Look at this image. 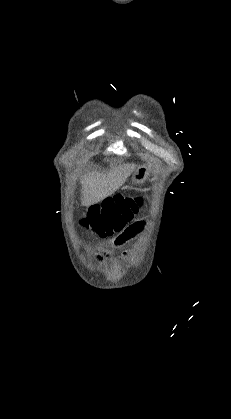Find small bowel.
Listing matches in <instances>:
<instances>
[{
    "label": "small bowel",
    "mask_w": 231,
    "mask_h": 419,
    "mask_svg": "<svg viewBox=\"0 0 231 419\" xmlns=\"http://www.w3.org/2000/svg\"><path fill=\"white\" fill-rule=\"evenodd\" d=\"M144 227V222H136L127 228H125L113 241L114 247H121L131 240L136 234H138ZM103 257L109 258V254L106 251L102 252Z\"/></svg>",
    "instance_id": "1"
}]
</instances>
